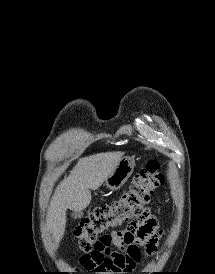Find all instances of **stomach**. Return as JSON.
<instances>
[{
    "label": "stomach",
    "mask_w": 215,
    "mask_h": 274,
    "mask_svg": "<svg viewBox=\"0 0 215 274\" xmlns=\"http://www.w3.org/2000/svg\"><path fill=\"white\" fill-rule=\"evenodd\" d=\"M135 161L131 157H123L111 174L105 179L104 185L110 191H116L133 173Z\"/></svg>",
    "instance_id": "stomach-1"
}]
</instances>
